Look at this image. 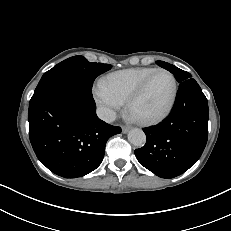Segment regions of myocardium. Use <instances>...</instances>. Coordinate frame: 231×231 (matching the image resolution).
Instances as JSON below:
<instances>
[{
	"label": "myocardium",
	"mask_w": 231,
	"mask_h": 231,
	"mask_svg": "<svg viewBox=\"0 0 231 231\" xmlns=\"http://www.w3.org/2000/svg\"><path fill=\"white\" fill-rule=\"evenodd\" d=\"M158 73H165L167 75L170 76L172 83H173V92H172V96L171 99L167 105V107L158 115L153 116V117H149V118H137L134 117L131 114V109L132 106L134 105V103L139 100L143 94L145 93L147 87L149 86L150 82L152 81V79L154 78V76ZM177 96H178V82L176 77L174 76V74L166 69H155L139 86L138 88L127 98L126 100V112L127 114H129L136 122H138L139 124L145 125V126H150V125H155L158 124L160 122H162L163 120H165L170 113L172 112L176 100H177Z\"/></svg>",
	"instance_id": "myocardium-1"
}]
</instances>
